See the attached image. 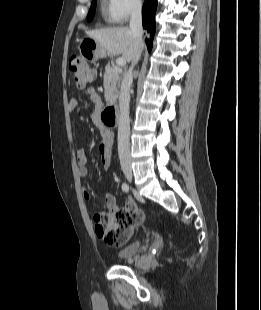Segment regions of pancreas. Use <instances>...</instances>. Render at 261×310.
<instances>
[{
  "instance_id": "obj_1",
  "label": "pancreas",
  "mask_w": 261,
  "mask_h": 310,
  "mask_svg": "<svg viewBox=\"0 0 261 310\" xmlns=\"http://www.w3.org/2000/svg\"><path fill=\"white\" fill-rule=\"evenodd\" d=\"M120 80L121 73L119 69L107 64L105 66V73L103 76V85L105 89V99L108 103H114L117 100Z\"/></svg>"
}]
</instances>
